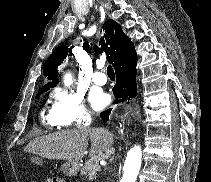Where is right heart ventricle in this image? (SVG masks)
I'll list each match as a JSON object with an SVG mask.
<instances>
[{
    "label": "right heart ventricle",
    "mask_w": 211,
    "mask_h": 182,
    "mask_svg": "<svg viewBox=\"0 0 211 182\" xmlns=\"http://www.w3.org/2000/svg\"><path fill=\"white\" fill-rule=\"evenodd\" d=\"M40 119H41L42 123L48 129H54V128L60 127V125L57 123V121L53 117L51 111L50 112H46L45 110L41 111Z\"/></svg>",
    "instance_id": "right-heart-ventricle-1"
}]
</instances>
